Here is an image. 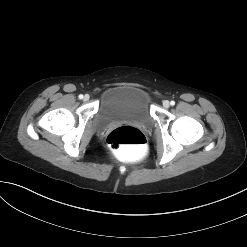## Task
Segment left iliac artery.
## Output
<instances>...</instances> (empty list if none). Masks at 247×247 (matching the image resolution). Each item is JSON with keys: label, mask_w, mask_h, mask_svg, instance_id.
<instances>
[{"label": "left iliac artery", "mask_w": 247, "mask_h": 247, "mask_svg": "<svg viewBox=\"0 0 247 247\" xmlns=\"http://www.w3.org/2000/svg\"><path fill=\"white\" fill-rule=\"evenodd\" d=\"M170 104H171L172 106H174V105H175V101H171Z\"/></svg>", "instance_id": "obj_1"}]
</instances>
